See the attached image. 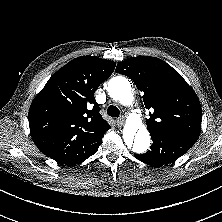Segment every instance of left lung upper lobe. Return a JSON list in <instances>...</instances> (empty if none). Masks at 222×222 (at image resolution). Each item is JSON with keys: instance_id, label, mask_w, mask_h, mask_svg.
<instances>
[{"instance_id": "1", "label": "left lung upper lobe", "mask_w": 222, "mask_h": 222, "mask_svg": "<svg viewBox=\"0 0 222 222\" xmlns=\"http://www.w3.org/2000/svg\"><path fill=\"white\" fill-rule=\"evenodd\" d=\"M116 72L134 81L143 92L149 132H166L197 140L202 110L194 90L170 65L156 57H131L117 65Z\"/></svg>"}]
</instances>
